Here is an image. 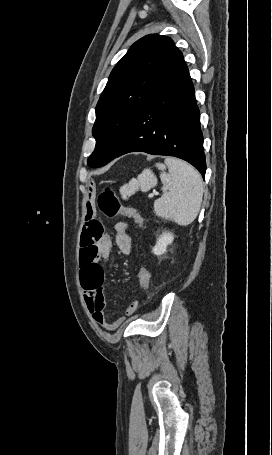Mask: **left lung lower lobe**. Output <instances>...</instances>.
I'll list each match as a JSON object with an SVG mask.
<instances>
[{"label":"left lung lower lobe","mask_w":272,"mask_h":455,"mask_svg":"<svg viewBox=\"0 0 272 455\" xmlns=\"http://www.w3.org/2000/svg\"><path fill=\"white\" fill-rule=\"evenodd\" d=\"M137 151L178 157L205 177L200 112L187 67L135 116L99 167Z\"/></svg>","instance_id":"left-lung-lower-lobe-1"}]
</instances>
